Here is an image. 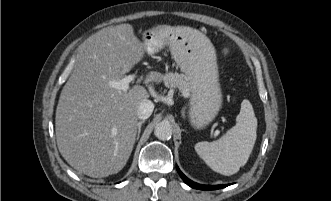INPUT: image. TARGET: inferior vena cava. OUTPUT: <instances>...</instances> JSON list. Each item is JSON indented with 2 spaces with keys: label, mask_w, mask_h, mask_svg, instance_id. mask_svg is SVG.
Here are the masks:
<instances>
[{
  "label": "inferior vena cava",
  "mask_w": 331,
  "mask_h": 201,
  "mask_svg": "<svg viewBox=\"0 0 331 201\" xmlns=\"http://www.w3.org/2000/svg\"><path fill=\"white\" fill-rule=\"evenodd\" d=\"M154 110V104L150 100H144L137 110V116L139 119L145 120L149 118Z\"/></svg>",
  "instance_id": "602c4592"
}]
</instances>
